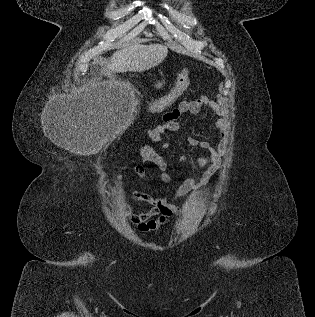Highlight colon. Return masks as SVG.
Here are the masks:
<instances>
[{
    "label": "colon",
    "mask_w": 315,
    "mask_h": 317,
    "mask_svg": "<svg viewBox=\"0 0 315 317\" xmlns=\"http://www.w3.org/2000/svg\"><path fill=\"white\" fill-rule=\"evenodd\" d=\"M190 81H191L190 71L184 70L182 74L179 76L172 92L169 93L161 101H159L152 110L158 111L160 109H164L167 106H169L175 100V98L189 85Z\"/></svg>",
    "instance_id": "colon-1"
}]
</instances>
